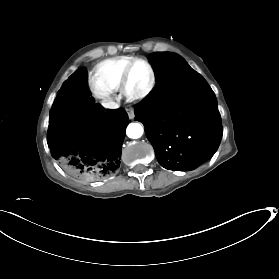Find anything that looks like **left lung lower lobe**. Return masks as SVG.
Masks as SVG:
<instances>
[{"mask_svg": "<svg viewBox=\"0 0 279 279\" xmlns=\"http://www.w3.org/2000/svg\"><path fill=\"white\" fill-rule=\"evenodd\" d=\"M158 162L166 169L187 171L217 151L223 128L215 95L201 75L191 77L170 96L135 107Z\"/></svg>", "mask_w": 279, "mask_h": 279, "instance_id": "1", "label": "left lung lower lobe"}]
</instances>
